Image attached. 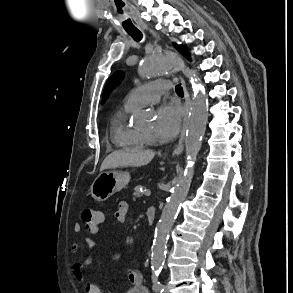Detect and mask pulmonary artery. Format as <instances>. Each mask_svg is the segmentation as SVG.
Wrapping results in <instances>:
<instances>
[{
    "instance_id": "e3ab8cb5",
    "label": "pulmonary artery",
    "mask_w": 293,
    "mask_h": 293,
    "mask_svg": "<svg viewBox=\"0 0 293 293\" xmlns=\"http://www.w3.org/2000/svg\"><path fill=\"white\" fill-rule=\"evenodd\" d=\"M171 88L170 81H154L132 90L125 101V106L137 108L156 102Z\"/></svg>"
}]
</instances>
